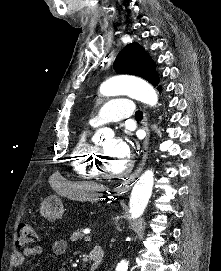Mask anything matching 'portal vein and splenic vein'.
<instances>
[{
  "label": "portal vein and splenic vein",
  "instance_id": "1",
  "mask_svg": "<svg viewBox=\"0 0 221 271\" xmlns=\"http://www.w3.org/2000/svg\"><path fill=\"white\" fill-rule=\"evenodd\" d=\"M92 237V234H87V236L84 237V242H91Z\"/></svg>",
  "mask_w": 221,
  "mask_h": 271
}]
</instances>
